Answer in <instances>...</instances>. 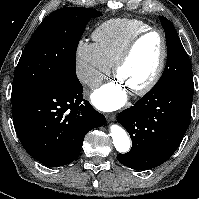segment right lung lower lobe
Returning a JSON list of instances; mask_svg holds the SVG:
<instances>
[{
	"label": "right lung lower lobe",
	"instance_id": "right-lung-lower-lobe-1",
	"mask_svg": "<svg viewBox=\"0 0 199 199\" xmlns=\"http://www.w3.org/2000/svg\"><path fill=\"white\" fill-rule=\"evenodd\" d=\"M82 92V85L53 83L12 104L15 131L34 159L50 167L69 164L79 156L86 133L105 124Z\"/></svg>",
	"mask_w": 199,
	"mask_h": 199
}]
</instances>
